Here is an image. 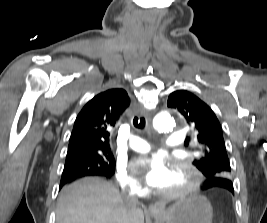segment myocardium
Here are the masks:
<instances>
[{
  "instance_id": "myocardium-1",
  "label": "myocardium",
  "mask_w": 267,
  "mask_h": 223,
  "mask_svg": "<svg viewBox=\"0 0 267 223\" xmlns=\"http://www.w3.org/2000/svg\"><path fill=\"white\" fill-rule=\"evenodd\" d=\"M171 170L173 172L185 171L190 176V183L182 189L173 191H159V194L168 200H175L194 195L201 186L202 175L200 171L190 162L184 159H176L172 161Z\"/></svg>"
}]
</instances>
